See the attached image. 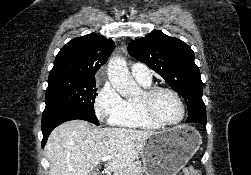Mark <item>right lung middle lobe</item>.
<instances>
[{"instance_id": "obj_1", "label": "right lung middle lobe", "mask_w": 251, "mask_h": 175, "mask_svg": "<svg viewBox=\"0 0 251 175\" xmlns=\"http://www.w3.org/2000/svg\"><path fill=\"white\" fill-rule=\"evenodd\" d=\"M95 83L49 78L45 109L72 108L94 113Z\"/></svg>"}]
</instances>
